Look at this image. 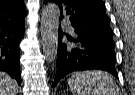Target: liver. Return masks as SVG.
<instances>
[{
    "mask_svg": "<svg viewBox=\"0 0 135 95\" xmlns=\"http://www.w3.org/2000/svg\"><path fill=\"white\" fill-rule=\"evenodd\" d=\"M18 84L8 74L0 72V95H17Z\"/></svg>",
    "mask_w": 135,
    "mask_h": 95,
    "instance_id": "liver-1",
    "label": "liver"
}]
</instances>
